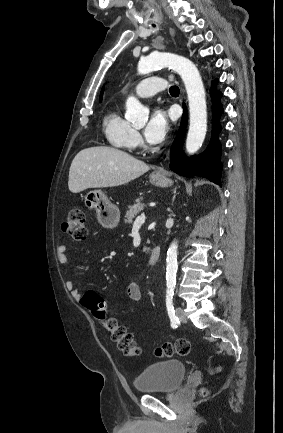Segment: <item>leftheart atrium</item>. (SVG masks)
<instances>
[{
	"label": "left heart atrium",
	"instance_id": "1",
	"mask_svg": "<svg viewBox=\"0 0 283 433\" xmlns=\"http://www.w3.org/2000/svg\"><path fill=\"white\" fill-rule=\"evenodd\" d=\"M169 130L170 123L167 113L163 107L155 106L144 131L147 143L151 147L160 145L166 139Z\"/></svg>",
	"mask_w": 283,
	"mask_h": 433
}]
</instances>
